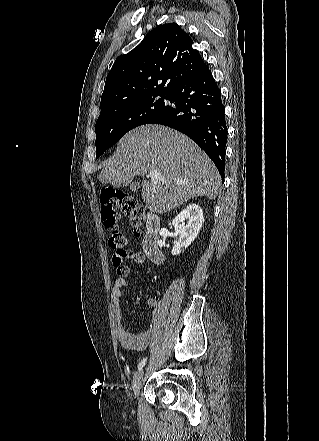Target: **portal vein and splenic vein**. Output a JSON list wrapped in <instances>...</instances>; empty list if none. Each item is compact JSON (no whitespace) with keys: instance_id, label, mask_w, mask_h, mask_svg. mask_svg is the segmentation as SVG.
Segmentation results:
<instances>
[{"instance_id":"portal-vein-and-splenic-vein-1","label":"portal vein and splenic vein","mask_w":319,"mask_h":441,"mask_svg":"<svg viewBox=\"0 0 319 441\" xmlns=\"http://www.w3.org/2000/svg\"><path fill=\"white\" fill-rule=\"evenodd\" d=\"M148 177H150L152 180H161V181H165V178L161 176V174L158 171L155 170H151L149 172ZM177 183H181V181L177 180Z\"/></svg>"}]
</instances>
